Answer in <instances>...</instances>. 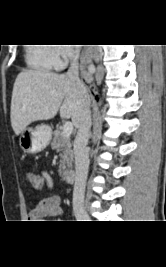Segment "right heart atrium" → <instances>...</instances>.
<instances>
[{"mask_svg":"<svg viewBox=\"0 0 166 267\" xmlns=\"http://www.w3.org/2000/svg\"><path fill=\"white\" fill-rule=\"evenodd\" d=\"M54 53L56 56V59L58 61V67L63 66L64 62L73 57L74 52L72 50V48L68 47V46H55L54 47Z\"/></svg>","mask_w":166,"mask_h":267,"instance_id":"right-heart-atrium-1","label":"right heart atrium"}]
</instances>
